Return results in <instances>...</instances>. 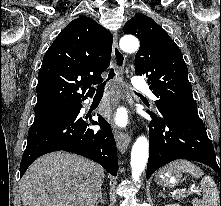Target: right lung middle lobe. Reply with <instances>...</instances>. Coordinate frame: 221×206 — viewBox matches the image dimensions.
I'll return each instance as SVG.
<instances>
[{"label":"right lung middle lobe","mask_w":221,"mask_h":206,"mask_svg":"<svg viewBox=\"0 0 221 206\" xmlns=\"http://www.w3.org/2000/svg\"><path fill=\"white\" fill-rule=\"evenodd\" d=\"M76 106L77 104L35 107V120L39 118H43V117H48V116L72 113L75 110Z\"/></svg>","instance_id":"1"}]
</instances>
